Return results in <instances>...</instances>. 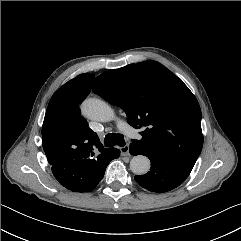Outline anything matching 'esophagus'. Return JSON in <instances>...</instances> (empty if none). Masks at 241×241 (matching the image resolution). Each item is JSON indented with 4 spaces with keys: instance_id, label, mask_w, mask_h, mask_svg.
Returning a JSON list of instances; mask_svg holds the SVG:
<instances>
[{
    "instance_id": "34e87169",
    "label": "esophagus",
    "mask_w": 241,
    "mask_h": 241,
    "mask_svg": "<svg viewBox=\"0 0 241 241\" xmlns=\"http://www.w3.org/2000/svg\"><path fill=\"white\" fill-rule=\"evenodd\" d=\"M120 151H121V154H122L123 156H128V155H130V153H129V145L127 144V145L121 147V148H120Z\"/></svg>"
}]
</instances>
